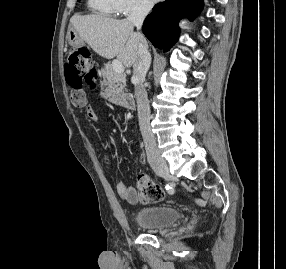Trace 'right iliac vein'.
<instances>
[{
    "label": "right iliac vein",
    "mask_w": 286,
    "mask_h": 269,
    "mask_svg": "<svg viewBox=\"0 0 286 269\" xmlns=\"http://www.w3.org/2000/svg\"><path fill=\"white\" fill-rule=\"evenodd\" d=\"M155 172L164 177V178H170V174H169V169L167 164L162 163L159 166L154 167Z\"/></svg>",
    "instance_id": "63e3f726"
}]
</instances>
